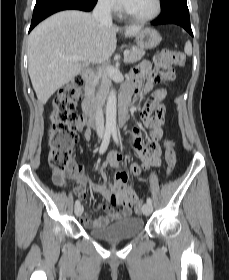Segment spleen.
Returning a JSON list of instances; mask_svg holds the SVG:
<instances>
[{
  "label": "spleen",
  "instance_id": "obj_1",
  "mask_svg": "<svg viewBox=\"0 0 229 280\" xmlns=\"http://www.w3.org/2000/svg\"><path fill=\"white\" fill-rule=\"evenodd\" d=\"M184 51H185V53L187 55H191L192 54V45H191L190 41L186 42Z\"/></svg>",
  "mask_w": 229,
  "mask_h": 280
}]
</instances>
